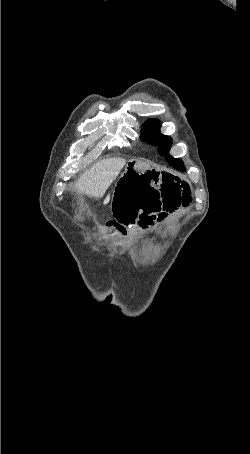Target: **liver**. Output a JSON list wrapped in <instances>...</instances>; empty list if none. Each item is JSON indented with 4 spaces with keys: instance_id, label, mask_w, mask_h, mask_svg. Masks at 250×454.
Returning <instances> with one entry per match:
<instances>
[{
    "instance_id": "obj_1",
    "label": "liver",
    "mask_w": 250,
    "mask_h": 454,
    "mask_svg": "<svg viewBox=\"0 0 250 454\" xmlns=\"http://www.w3.org/2000/svg\"><path fill=\"white\" fill-rule=\"evenodd\" d=\"M125 164L126 160L122 158L101 160L81 175L76 182L75 189L81 194L101 198Z\"/></svg>"
}]
</instances>
